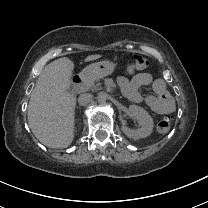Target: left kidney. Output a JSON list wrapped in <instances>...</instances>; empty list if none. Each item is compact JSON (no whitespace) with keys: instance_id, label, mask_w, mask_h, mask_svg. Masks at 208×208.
I'll return each mask as SVG.
<instances>
[{"instance_id":"left-kidney-1","label":"left kidney","mask_w":208,"mask_h":208,"mask_svg":"<svg viewBox=\"0 0 208 208\" xmlns=\"http://www.w3.org/2000/svg\"><path fill=\"white\" fill-rule=\"evenodd\" d=\"M129 111L132 117L137 119L139 129H130L127 126H122L123 133L132 139H140L149 136L152 133L154 123L152 117L142 107L137 105H130Z\"/></svg>"}]
</instances>
